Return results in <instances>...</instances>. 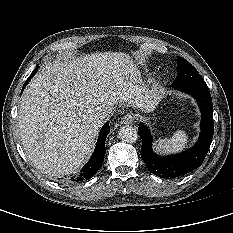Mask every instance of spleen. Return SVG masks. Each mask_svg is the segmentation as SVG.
<instances>
[{"label": "spleen", "instance_id": "spleen-1", "mask_svg": "<svg viewBox=\"0 0 233 233\" xmlns=\"http://www.w3.org/2000/svg\"><path fill=\"white\" fill-rule=\"evenodd\" d=\"M188 143V135L183 130L176 131L171 138L160 139L155 143L159 153H175L182 151Z\"/></svg>", "mask_w": 233, "mask_h": 233}]
</instances>
